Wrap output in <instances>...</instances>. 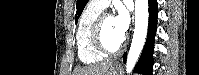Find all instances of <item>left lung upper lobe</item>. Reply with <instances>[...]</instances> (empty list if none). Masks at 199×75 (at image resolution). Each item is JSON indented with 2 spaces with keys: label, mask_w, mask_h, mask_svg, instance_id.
Wrapping results in <instances>:
<instances>
[{
  "label": "left lung upper lobe",
  "mask_w": 199,
  "mask_h": 75,
  "mask_svg": "<svg viewBox=\"0 0 199 75\" xmlns=\"http://www.w3.org/2000/svg\"><path fill=\"white\" fill-rule=\"evenodd\" d=\"M88 0H77L76 2V14H75V22L78 21L84 7L86 6Z\"/></svg>",
  "instance_id": "obj_1"
}]
</instances>
